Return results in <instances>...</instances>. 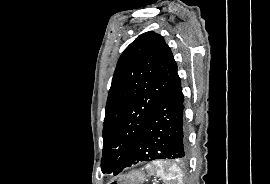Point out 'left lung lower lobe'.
Segmentation results:
<instances>
[{
  "mask_svg": "<svg viewBox=\"0 0 270 184\" xmlns=\"http://www.w3.org/2000/svg\"><path fill=\"white\" fill-rule=\"evenodd\" d=\"M184 96L178 74L164 92L148 122L140 132L120 171L142 161L188 157Z\"/></svg>",
  "mask_w": 270,
  "mask_h": 184,
  "instance_id": "0a47b994",
  "label": "left lung lower lobe"
}]
</instances>
